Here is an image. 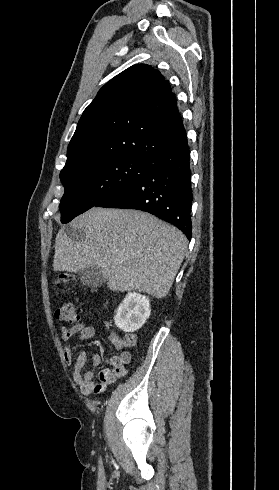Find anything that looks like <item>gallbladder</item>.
Masks as SVG:
<instances>
[{
  "label": "gallbladder",
  "mask_w": 279,
  "mask_h": 490,
  "mask_svg": "<svg viewBox=\"0 0 279 490\" xmlns=\"http://www.w3.org/2000/svg\"><path fill=\"white\" fill-rule=\"evenodd\" d=\"M78 276L81 284L87 288H100L105 282L103 272L99 266H87L83 270H79Z\"/></svg>",
  "instance_id": "bac80fb5"
}]
</instances>
